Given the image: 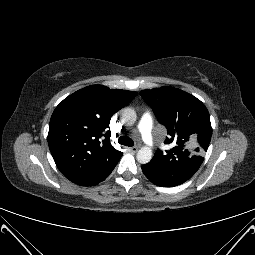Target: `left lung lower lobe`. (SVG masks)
Masks as SVG:
<instances>
[{"instance_id":"0a47b994","label":"left lung lower lobe","mask_w":255,"mask_h":255,"mask_svg":"<svg viewBox=\"0 0 255 255\" xmlns=\"http://www.w3.org/2000/svg\"><path fill=\"white\" fill-rule=\"evenodd\" d=\"M142 170H143V173L145 174V176L152 183H154L157 186H161V187H174V186H177L176 184H174V183H172V182H170L166 179H163L161 177H158V176L154 175L153 173L148 171L144 166H142Z\"/></svg>"}]
</instances>
